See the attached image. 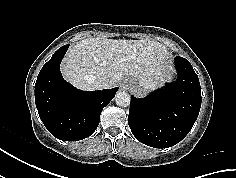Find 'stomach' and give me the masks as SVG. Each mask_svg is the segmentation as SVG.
<instances>
[{
    "label": "stomach",
    "mask_w": 236,
    "mask_h": 178,
    "mask_svg": "<svg viewBox=\"0 0 236 178\" xmlns=\"http://www.w3.org/2000/svg\"><path fill=\"white\" fill-rule=\"evenodd\" d=\"M130 83H131L130 88L134 93L142 95L145 92V86H143L139 81L130 80Z\"/></svg>",
    "instance_id": "0dacf381"
}]
</instances>
